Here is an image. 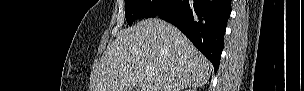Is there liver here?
Wrapping results in <instances>:
<instances>
[{
	"label": "liver",
	"mask_w": 304,
	"mask_h": 91,
	"mask_svg": "<svg viewBox=\"0 0 304 91\" xmlns=\"http://www.w3.org/2000/svg\"><path fill=\"white\" fill-rule=\"evenodd\" d=\"M153 74L146 78V68ZM211 62L175 26L146 19L118 34L103 54L95 91H181L206 84Z\"/></svg>",
	"instance_id": "6515ba94"
}]
</instances>
